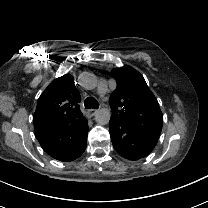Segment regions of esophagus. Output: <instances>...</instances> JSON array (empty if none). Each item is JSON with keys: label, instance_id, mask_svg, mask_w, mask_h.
I'll use <instances>...</instances> for the list:
<instances>
[{"label": "esophagus", "instance_id": "34e87169", "mask_svg": "<svg viewBox=\"0 0 208 208\" xmlns=\"http://www.w3.org/2000/svg\"><path fill=\"white\" fill-rule=\"evenodd\" d=\"M98 111H99L98 109H89L87 111V113H88L89 117H93L97 114Z\"/></svg>", "mask_w": 208, "mask_h": 208}]
</instances>
